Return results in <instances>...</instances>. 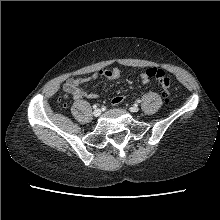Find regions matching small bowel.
<instances>
[{
    "label": "small bowel",
    "mask_w": 220,
    "mask_h": 220,
    "mask_svg": "<svg viewBox=\"0 0 220 220\" xmlns=\"http://www.w3.org/2000/svg\"><path fill=\"white\" fill-rule=\"evenodd\" d=\"M106 78L108 80H115L120 77V70L118 68L101 70L95 73L92 76H85V77H76V78H69L65 84L64 88L73 94L75 99H81L83 97L94 99L97 97V94L94 92L85 91L81 88V86L85 83H88L92 80L97 78ZM141 79L143 83H148L149 78L145 75V72L141 74ZM124 100V97L121 95L115 96L112 99V104L118 105Z\"/></svg>",
    "instance_id": "small-bowel-1"
}]
</instances>
